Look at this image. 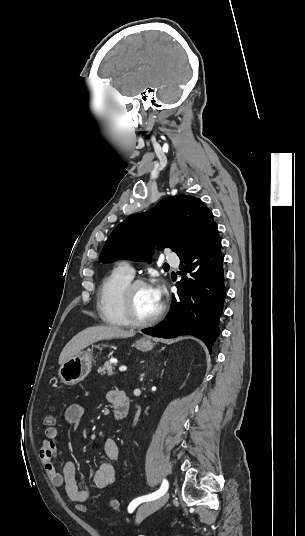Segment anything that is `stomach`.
<instances>
[{"label": "stomach", "instance_id": "obj_1", "mask_svg": "<svg viewBox=\"0 0 305 536\" xmlns=\"http://www.w3.org/2000/svg\"><path fill=\"white\" fill-rule=\"evenodd\" d=\"M135 346L140 352H150L153 348V344L148 338L138 340ZM92 360V350H86V352H82L81 350V352H77L75 356H72L67 362L61 364L58 372L61 382L66 384V386H75L78 382H82L88 376L89 372H91Z\"/></svg>", "mask_w": 305, "mask_h": 536}]
</instances>
